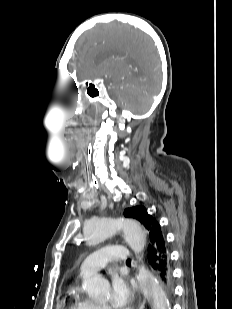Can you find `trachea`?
Segmentation results:
<instances>
[{
    "label": "trachea",
    "instance_id": "trachea-1",
    "mask_svg": "<svg viewBox=\"0 0 232 309\" xmlns=\"http://www.w3.org/2000/svg\"><path fill=\"white\" fill-rule=\"evenodd\" d=\"M83 170H84L85 176L88 177L89 176V167H88V162H87L86 158L83 159ZM129 261H130V259L127 260V262H129Z\"/></svg>",
    "mask_w": 232,
    "mask_h": 309
}]
</instances>
